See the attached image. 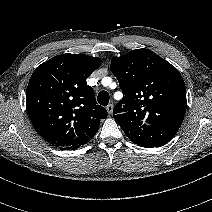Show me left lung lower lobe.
Masks as SVG:
<instances>
[{
  "instance_id": "1",
  "label": "left lung lower lobe",
  "mask_w": 212,
  "mask_h": 212,
  "mask_svg": "<svg viewBox=\"0 0 212 212\" xmlns=\"http://www.w3.org/2000/svg\"><path fill=\"white\" fill-rule=\"evenodd\" d=\"M178 127L166 125H143L125 134L135 144L146 147H160L168 143L177 133Z\"/></svg>"
}]
</instances>
